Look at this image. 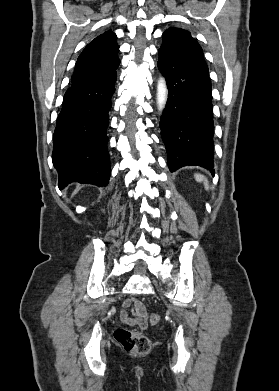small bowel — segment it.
Listing matches in <instances>:
<instances>
[{"mask_svg":"<svg viewBox=\"0 0 279 391\" xmlns=\"http://www.w3.org/2000/svg\"><path fill=\"white\" fill-rule=\"evenodd\" d=\"M120 311L121 320L129 326L147 327V312L141 302L136 299H126ZM132 307V317L128 316L127 308Z\"/></svg>","mask_w":279,"mask_h":391,"instance_id":"obj_1","label":"small bowel"}]
</instances>
